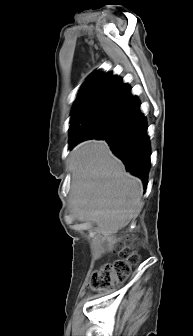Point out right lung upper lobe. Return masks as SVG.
<instances>
[{
	"mask_svg": "<svg viewBox=\"0 0 193 336\" xmlns=\"http://www.w3.org/2000/svg\"><path fill=\"white\" fill-rule=\"evenodd\" d=\"M128 90L127 84L112 73L93 74L80 90L72 111L70 128L81 121L96 118L104 110L114 108ZM83 140H86L83 135H70V144Z\"/></svg>",
	"mask_w": 193,
	"mask_h": 336,
	"instance_id": "cb5924a9",
	"label": "right lung upper lobe"
}]
</instances>
